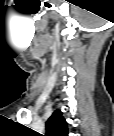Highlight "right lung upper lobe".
<instances>
[{
  "instance_id": "1",
  "label": "right lung upper lobe",
  "mask_w": 114,
  "mask_h": 136,
  "mask_svg": "<svg viewBox=\"0 0 114 136\" xmlns=\"http://www.w3.org/2000/svg\"><path fill=\"white\" fill-rule=\"evenodd\" d=\"M47 136H68L67 122L60 110H55L46 122Z\"/></svg>"
}]
</instances>
